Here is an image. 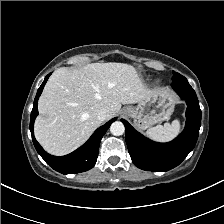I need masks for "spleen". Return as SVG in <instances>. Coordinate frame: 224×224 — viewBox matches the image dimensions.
<instances>
[{
  "mask_svg": "<svg viewBox=\"0 0 224 224\" xmlns=\"http://www.w3.org/2000/svg\"><path fill=\"white\" fill-rule=\"evenodd\" d=\"M181 130V125L179 120H174L172 123H165L164 125H156L148 129L145 134L157 141H169L176 137Z\"/></svg>",
  "mask_w": 224,
  "mask_h": 224,
  "instance_id": "1",
  "label": "spleen"
}]
</instances>
